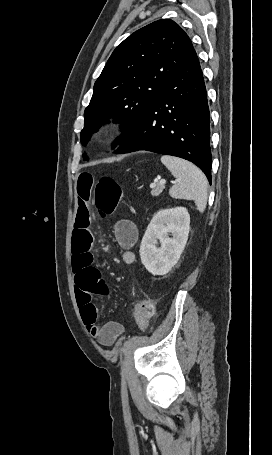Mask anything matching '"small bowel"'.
<instances>
[{
    "label": "small bowel",
    "instance_id": "c3829d8e",
    "mask_svg": "<svg viewBox=\"0 0 272 455\" xmlns=\"http://www.w3.org/2000/svg\"><path fill=\"white\" fill-rule=\"evenodd\" d=\"M95 184V176L90 172H81L77 176L78 211L72 237V270L75 274V292L82 319L91 335L100 344L110 346L124 332V325L118 321H109L104 325L97 322L98 310L94 299L106 296L109 292L101 272L94 266L91 252L93 235L90 229L89 203ZM113 232L122 248L123 263L127 265L135 263L136 255L132 249L138 239L136 225L130 220L122 219L116 222Z\"/></svg>",
    "mask_w": 272,
    "mask_h": 455
}]
</instances>
